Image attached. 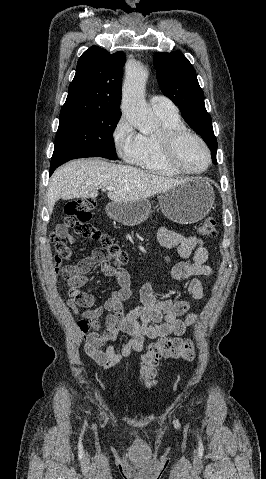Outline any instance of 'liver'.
<instances>
[{
	"label": "liver",
	"mask_w": 266,
	"mask_h": 479,
	"mask_svg": "<svg viewBox=\"0 0 266 479\" xmlns=\"http://www.w3.org/2000/svg\"><path fill=\"white\" fill-rule=\"evenodd\" d=\"M186 180L150 174L99 158L77 159L53 173L47 192L48 211L52 213L59 199L96 198L98 190L108 186L115 187L107 193L110 200L125 202L146 200Z\"/></svg>",
	"instance_id": "obj_1"
}]
</instances>
